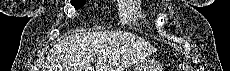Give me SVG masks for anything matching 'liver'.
<instances>
[{"instance_id":"liver-1","label":"liver","mask_w":230,"mask_h":71,"mask_svg":"<svg viewBox=\"0 0 230 71\" xmlns=\"http://www.w3.org/2000/svg\"><path fill=\"white\" fill-rule=\"evenodd\" d=\"M155 52L147 41L130 33H75L60 40L50 51L45 71H124L135 60Z\"/></svg>"}]
</instances>
